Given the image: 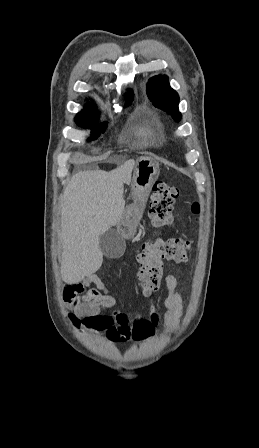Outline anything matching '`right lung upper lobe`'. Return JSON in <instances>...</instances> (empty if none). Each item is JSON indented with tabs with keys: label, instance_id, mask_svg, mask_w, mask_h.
<instances>
[{
	"label": "right lung upper lobe",
	"instance_id": "1",
	"mask_svg": "<svg viewBox=\"0 0 259 448\" xmlns=\"http://www.w3.org/2000/svg\"><path fill=\"white\" fill-rule=\"evenodd\" d=\"M133 92L128 91L126 93V101L128 104H131L133 100ZM89 105L84 108L81 112H79L77 115H84V114H98L99 111L95 108V105L93 103H88Z\"/></svg>",
	"mask_w": 259,
	"mask_h": 448
}]
</instances>
